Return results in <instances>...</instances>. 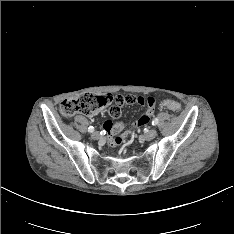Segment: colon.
<instances>
[{
    "mask_svg": "<svg viewBox=\"0 0 234 234\" xmlns=\"http://www.w3.org/2000/svg\"><path fill=\"white\" fill-rule=\"evenodd\" d=\"M119 96L121 95H118L117 97ZM106 99H109V102H106ZM112 101L113 98L110 94L84 93L62 101L59 110L61 115L64 117H72L76 114L91 115L101 109L108 108L109 104L112 103ZM165 105L173 112L179 113L181 111V106L176 101L166 100Z\"/></svg>",
    "mask_w": 234,
    "mask_h": 234,
    "instance_id": "1",
    "label": "colon"
}]
</instances>
